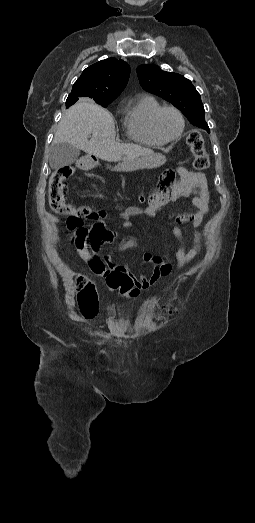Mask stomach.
Segmentation results:
<instances>
[{"instance_id":"stomach-1","label":"stomach","mask_w":255,"mask_h":523,"mask_svg":"<svg viewBox=\"0 0 255 523\" xmlns=\"http://www.w3.org/2000/svg\"><path fill=\"white\" fill-rule=\"evenodd\" d=\"M166 164V159L159 151H146L144 158H135V160H128L121 164L123 172H134V170H144V168L163 167ZM113 174L118 172L116 167L111 169Z\"/></svg>"}]
</instances>
